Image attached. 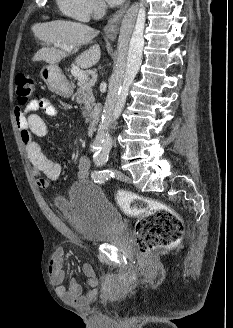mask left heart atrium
Returning <instances> with one entry per match:
<instances>
[{
	"label": "left heart atrium",
	"mask_w": 233,
	"mask_h": 328,
	"mask_svg": "<svg viewBox=\"0 0 233 328\" xmlns=\"http://www.w3.org/2000/svg\"><path fill=\"white\" fill-rule=\"evenodd\" d=\"M123 0H106V2L110 5V6H117L119 5Z\"/></svg>",
	"instance_id": "left-heart-atrium-1"
}]
</instances>
